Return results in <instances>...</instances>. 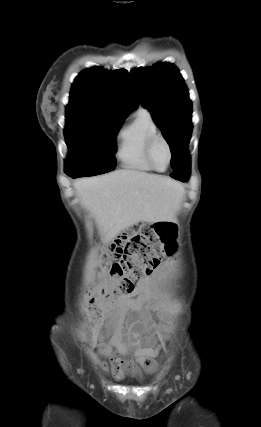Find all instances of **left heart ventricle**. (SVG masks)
I'll return each mask as SVG.
<instances>
[{
	"instance_id": "obj_1",
	"label": "left heart ventricle",
	"mask_w": 261,
	"mask_h": 427,
	"mask_svg": "<svg viewBox=\"0 0 261 427\" xmlns=\"http://www.w3.org/2000/svg\"><path fill=\"white\" fill-rule=\"evenodd\" d=\"M153 159L157 168L164 169L169 160L168 150L162 141H158L154 147Z\"/></svg>"
}]
</instances>
